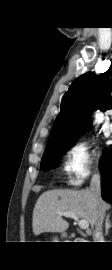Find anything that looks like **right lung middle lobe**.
<instances>
[{
  "instance_id": "right-lung-middle-lobe-1",
  "label": "right lung middle lobe",
  "mask_w": 112,
  "mask_h": 270,
  "mask_svg": "<svg viewBox=\"0 0 112 270\" xmlns=\"http://www.w3.org/2000/svg\"><path fill=\"white\" fill-rule=\"evenodd\" d=\"M73 145V140L53 145H47L41 160V168L44 170L56 168L59 165V158L62 156L63 152L67 151ZM106 153L107 150L104 151L100 162L102 161Z\"/></svg>"
}]
</instances>
